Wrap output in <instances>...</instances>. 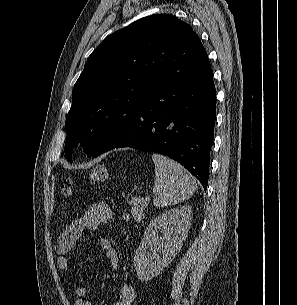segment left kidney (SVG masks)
Instances as JSON below:
<instances>
[{
  "label": "left kidney",
  "instance_id": "5707ae66",
  "mask_svg": "<svg viewBox=\"0 0 297 305\" xmlns=\"http://www.w3.org/2000/svg\"><path fill=\"white\" fill-rule=\"evenodd\" d=\"M192 218L191 206L185 205L163 212L149 224L133 260L139 280L153 279L171 263L187 237ZM160 231L166 236L159 237Z\"/></svg>",
  "mask_w": 297,
  "mask_h": 305
}]
</instances>
